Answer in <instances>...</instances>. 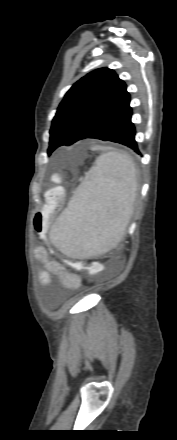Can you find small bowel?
I'll list each match as a JSON object with an SVG mask.
<instances>
[{"label":"small bowel","mask_w":177,"mask_h":440,"mask_svg":"<svg viewBox=\"0 0 177 440\" xmlns=\"http://www.w3.org/2000/svg\"><path fill=\"white\" fill-rule=\"evenodd\" d=\"M45 227L39 230V233L44 231ZM36 257L40 259L46 270L40 272V281L43 286H48L51 282V275L54 274L60 278L62 285L66 288H78L80 285V279L77 276L69 275V272L65 270L62 263L57 260L48 257L47 251L43 247H38L35 251Z\"/></svg>","instance_id":"c3829d8e"}]
</instances>
